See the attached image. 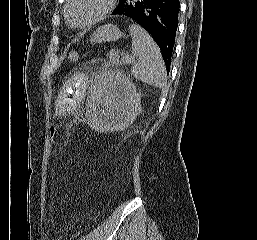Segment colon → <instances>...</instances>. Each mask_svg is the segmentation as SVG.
<instances>
[{"mask_svg":"<svg viewBox=\"0 0 257 240\" xmlns=\"http://www.w3.org/2000/svg\"><path fill=\"white\" fill-rule=\"evenodd\" d=\"M68 58L71 62H75L78 59V53L76 51H71L68 55ZM56 133V128L55 126H51L49 130V140L50 142H53L54 137Z\"/></svg>","mask_w":257,"mask_h":240,"instance_id":"obj_1","label":"colon"}]
</instances>
